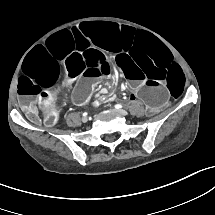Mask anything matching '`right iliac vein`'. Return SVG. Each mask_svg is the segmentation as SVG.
I'll return each mask as SVG.
<instances>
[{
	"instance_id": "63e3f726",
	"label": "right iliac vein",
	"mask_w": 215,
	"mask_h": 215,
	"mask_svg": "<svg viewBox=\"0 0 215 215\" xmlns=\"http://www.w3.org/2000/svg\"><path fill=\"white\" fill-rule=\"evenodd\" d=\"M82 121H83V122H86V121H87V117H83V118H82Z\"/></svg>"
}]
</instances>
